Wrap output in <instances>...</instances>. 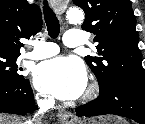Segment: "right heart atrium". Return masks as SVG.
Masks as SVG:
<instances>
[{
	"instance_id": "obj_1",
	"label": "right heart atrium",
	"mask_w": 145,
	"mask_h": 124,
	"mask_svg": "<svg viewBox=\"0 0 145 124\" xmlns=\"http://www.w3.org/2000/svg\"><path fill=\"white\" fill-rule=\"evenodd\" d=\"M38 98H39V100H40L42 103H44V104H49V103H51V98L48 97V96H46V95L43 94V93H39V94H38Z\"/></svg>"
}]
</instances>
